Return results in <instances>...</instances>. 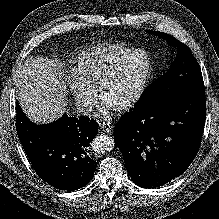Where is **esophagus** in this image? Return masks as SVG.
Masks as SVG:
<instances>
[{
  "mask_svg": "<svg viewBox=\"0 0 219 219\" xmlns=\"http://www.w3.org/2000/svg\"><path fill=\"white\" fill-rule=\"evenodd\" d=\"M99 125L101 130L104 132H111V130L113 129V125L110 122L100 121Z\"/></svg>",
  "mask_w": 219,
  "mask_h": 219,
  "instance_id": "34e87169",
  "label": "esophagus"
}]
</instances>
